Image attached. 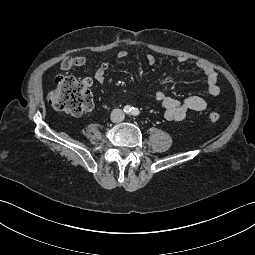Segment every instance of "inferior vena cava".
I'll return each instance as SVG.
<instances>
[{
    "instance_id": "obj_1",
    "label": "inferior vena cava",
    "mask_w": 255,
    "mask_h": 255,
    "mask_svg": "<svg viewBox=\"0 0 255 255\" xmlns=\"http://www.w3.org/2000/svg\"><path fill=\"white\" fill-rule=\"evenodd\" d=\"M124 113L121 109H113L112 112H111V120L113 122H121L124 120Z\"/></svg>"
}]
</instances>
